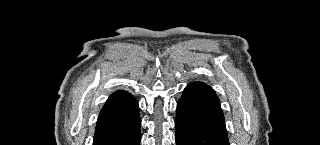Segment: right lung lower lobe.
I'll return each mask as SVG.
<instances>
[{
	"label": "right lung lower lobe",
	"mask_w": 320,
	"mask_h": 145,
	"mask_svg": "<svg viewBox=\"0 0 320 145\" xmlns=\"http://www.w3.org/2000/svg\"><path fill=\"white\" fill-rule=\"evenodd\" d=\"M138 102L122 90L110 95L102 108L93 145H139L140 116Z\"/></svg>",
	"instance_id": "right-lung-lower-lobe-1"
}]
</instances>
